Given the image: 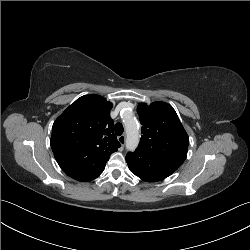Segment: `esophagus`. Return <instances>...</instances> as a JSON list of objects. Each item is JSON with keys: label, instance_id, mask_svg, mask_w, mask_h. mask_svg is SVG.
I'll use <instances>...</instances> for the list:
<instances>
[{"label": "esophagus", "instance_id": "esophagus-1", "mask_svg": "<svg viewBox=\"0 0 250 250\" xmlns=\"http://www.w3.org/2000/svg\"><path fill=\"white\" fill-rule=\"evenodd\" d=\"M118 141L120 142V144H121L122 146H124V145H125V141H126V136H125V135L119 136V137H118Z\"/></svg>", "mask_w": 250, "mask_h": 250}]
</instances>
